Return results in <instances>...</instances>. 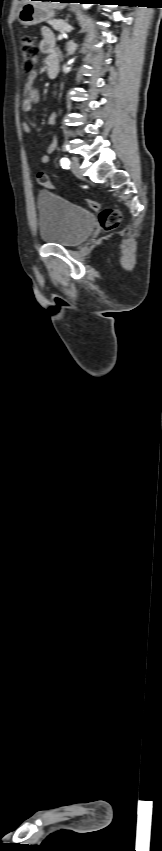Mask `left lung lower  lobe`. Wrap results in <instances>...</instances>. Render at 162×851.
Listing matches in <instances>:
<instances>
[{
	"instance_id": "0a47b994",
	"label": "left lung lower lobe",
	"mask_w": 162,
	"mask_h": 851,
	"mask_svg": "<svg viewBox=\"0 0 162 851\" xmlns=\"http://www.w3.org/2000/svg\"><path fill=\"white\" fill-rule=\"evenodd\" d=\"M80 3H93V4H107L108 2H112V0H80ZM61 2H71L70 0H61Z\"/></svg>"
}]
</instances>
